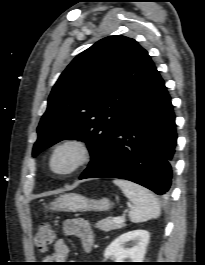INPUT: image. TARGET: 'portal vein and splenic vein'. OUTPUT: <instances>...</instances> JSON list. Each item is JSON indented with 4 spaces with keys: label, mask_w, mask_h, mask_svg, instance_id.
Here are the masks:
<instances>
[{
    "label": "portal vein and splenic vein",
    "mask_w": 205,
    "mask_h": 265,
    "mask_svg": "<svg viewBox=\"0 0 205 265\" xmlns=\"http://www.w3.org/2000/svg\"><path fill=\"white\" fill-rule=\"evenodd\" d=\"M113 222L122 223V222H124V218L123 217H114Z\"/></svg>",
    "instance_id": "obj_1"
}]
</instances>
